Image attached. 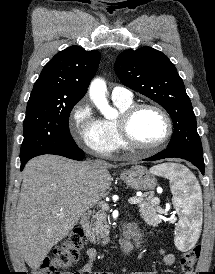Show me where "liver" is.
<instances>
[{
    "label": "liver",
    "instance_id": "1",
    "mask_svg": "<svg viewBox=\"0 0 215 274\" xmlns=\"http://www.w3.org/2000/svg\"><path fill=\"white\" fill-rule=\"evenodd\" d=\"M108 167L54 155L26 164L14 232L29 267L37 269L85 211L104 197L112 181Z\"/></svg>",
    "mask_w": 215,
    "mask_h": 274
}]
</instances>
